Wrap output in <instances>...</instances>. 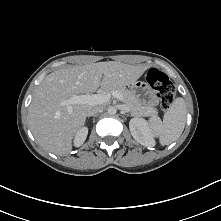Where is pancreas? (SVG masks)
I'll list each match as a JSON object with an SVG mask.
<instances>
[{"label":"pancreas","instance_id":"obj_1","mask_svg":"<svg viewBox=\"0 0 221 221\" xmlns=\"http://www.w3.org/2000/svg\"><path fill=\"white\" fill-rule=\"evenodd\" d=\"M113 91H118L123 96L122 102L128 107L131 115L141 116L157 114L155 108L142 104L136 96L124 86H111L105 89L106 93H112Z\"/></svg>","mask_w":221,"mask_h":221}]
</instances>
